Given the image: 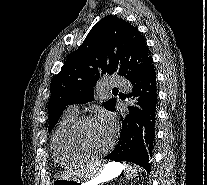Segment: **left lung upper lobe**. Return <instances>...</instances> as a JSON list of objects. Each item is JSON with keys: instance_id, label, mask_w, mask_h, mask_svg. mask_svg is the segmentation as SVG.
<instances>
[{"instance_id": "left-lung-upper-lobe-1", "label": "left lung upper lobe", "mask_w": 207, "mask_h": 185, "mask_svg": "<svg viewBox=\"0 0 207 185\" xmlns=\"http://www.w3.org/2000/svg\"><path fill=\"white\" fill-rule=\"evenodd\" d=\"M152 63L145 39L135 27L113 15L102 18L51 81L49 132L67 105L93 100L94 87L101 76L118 74L130 80ZM103 105L114 111L116 98Z\"/></svg>"}]
</instances>
